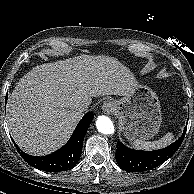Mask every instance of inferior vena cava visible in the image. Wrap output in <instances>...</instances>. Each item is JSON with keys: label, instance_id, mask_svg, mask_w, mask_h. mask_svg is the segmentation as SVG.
Returning a JSON list of instances; mask_svg holds the SVG:
<instances>
[{"label": "inferior vena cava", "instance_id": "1", "mask_svg": "<svg viewBox=\"0 0 194 194\" xmlns=\"http://www.w3.org/2000/svg\"><path fill=\"white\" fill-rule=\"evenodd\" d=\"M89 105H90V102H88V101H85V102L81 103V104H80V109H81V111H82V112L87 111L88 108H89Z\"/></svg>", "mask_w": 194, "mask_h": 194}]
</instances>
